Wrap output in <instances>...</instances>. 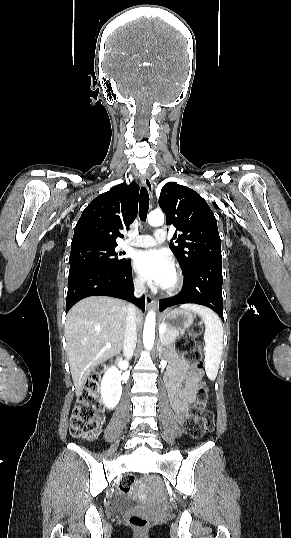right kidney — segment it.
I'll list each match as a JSON object with an SVG mask.
<instances>
[{
  "label": "right kidney",
  "instance_id": "right-kidney-1",
  "mask_svg": "<svg viewBox=\"0 0 291 538\" xmlns=\"http://www.w3.org/2000/svg\"><path fill=\"white\" fill-rule=\"evenodd\" d=\"M129 366L127 361H119L120 370H126ZM115 366L110 367L104 374L101 381L100 393L102 402L107 409H113L122 395L121 371Z\"/></svg>",
  "mask_w": 291,
  "mask_h": 538
}]
</instances>
